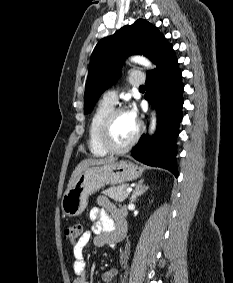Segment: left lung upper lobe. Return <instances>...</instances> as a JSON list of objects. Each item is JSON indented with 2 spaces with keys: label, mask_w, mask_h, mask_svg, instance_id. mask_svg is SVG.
<instances>
[{
  "label": "left lung upper lobe",
  "mask_w": 233,
  "mask_h": 283,
  "mask_svg": "<svg viewBox=\"0 0 233 283\" xmlns=\"http://www.w3.org/2000/svg\"><path fill=\"white\" fill-rule=\"evenodd\" d=\"M171 47L158 29L143 19L101 39L90 59L85 86V114L92 111L100 95L116 82L126 56L143 54L157 65Z\"/></svg>",
  "instance_id": "1"
}]
</instances>
